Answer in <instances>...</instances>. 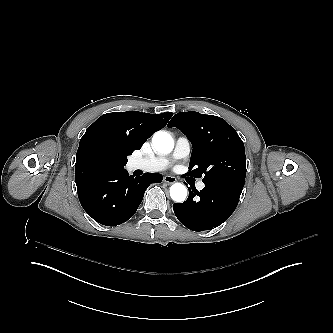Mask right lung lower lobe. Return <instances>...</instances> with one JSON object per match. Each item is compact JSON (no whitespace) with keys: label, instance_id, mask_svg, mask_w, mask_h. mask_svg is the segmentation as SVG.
<instances>
[{"label":"right lung lower lobe","instance_id":"98d812e1","mask_svg":"<svg viewBox=\"0 0 333 333\" xmlns=\"http://www.w3.org/2000/svg\"><path fill=\"white\" fill-rule=\"evenodd\" d=\"M160 174L129 176L123 168H108L94 162L75 164L79 201L88 215L100 224L116 226L131 218L147 187L160 183Z\"/></svg>","mask_w":333,"mask_h":333}]
</instances>
